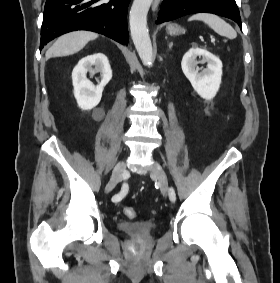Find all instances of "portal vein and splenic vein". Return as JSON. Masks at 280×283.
<instances>
[{
	"label": "portal vein and splenic vein",
	"mask_w": 280,
	"mask_h": 283,
	"mask_svg": "<svg viewBox=\"0 0 280 283\" xmlns=\"http://www.w3.org/2000/svg\"><path fill=\"white\" fill-rule=\"evenodd\" d=\"M211 41L213 42V41H215V39L213 37H211Z\"/></svg>",
	"instance_id": "portal-vein-and-splenic-vein-1"
}]
</instances>
